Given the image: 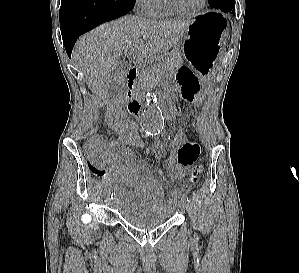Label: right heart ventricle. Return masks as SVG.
<instances>
[{
  "mask_svg": "<svg viewBox=\"0 0 299 273\" xmlns=\"http://www.w3.org/2000/svg\"><path fill=\"white\" fill-rule=\"evenodd\" d=\"M173 13L166 7L164 0H159L157 4L147 13L153 18H164L171 16Z\"/></svg>",
  "mask_w": 299,
  "mask_h": 273,
  "instance_id": "obj_1",
  "label": "right heart ventricle"
}]
</instances>
